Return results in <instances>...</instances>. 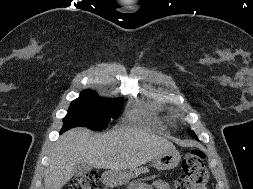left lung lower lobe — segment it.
I'll return each instance as SVG.
<instances>
[{"label":"left lung lower lobe","instance_id":"1","mask_svg":"<svg viewBox=\"0 0 253 189\" xmlns=\"http://www.w3.org/2000/svg\"><path fill=\"white\" fill-rule=\"evenodd\" d=\"M193 138L197 139V136L196 135H191Z\"/></svg>","mask_w":253,"mask_h":189}]
</instances>
